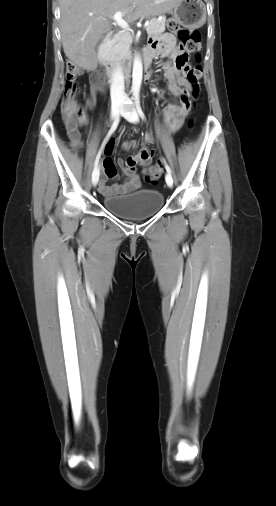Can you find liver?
Segmentation results:
<instances>
[{"instance_id": "6515ba94", "label": "liver", "mask_w": 276, "mask_h": 506, "mask_svg": "<svg viewBox=\"0 0 276 506\" xmlns=\"http://www.w3.org/2000/svg\"><path fill=\"white\" fill-rule=\"evenodd\" d=\"M181 0H60L61 40L65 55L80 67L97 66L95 47L110 30L116 12L133 22L172 11Z\"/></svg>"}]
</instances>
